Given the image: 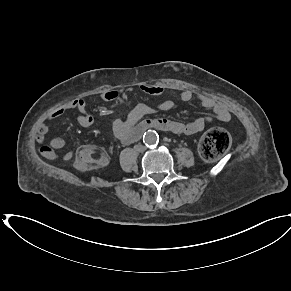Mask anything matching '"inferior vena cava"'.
<instances>
[{
  "mask_svg": "<svg viewBox=\"0 0 291 291\" xmlns=\"http://www.w3.org/2000/svg\"><path fill=\"white\" fill-rule=\"evenodd\" d=\"M138 150L141 151V152H143V151L145 150V147H144V146H140V147L138 148Z\"/></svg>",
  "mask_w": 291,
  "mask_h": 291,
  "instance_id": "obj_1",
  "label": "inferior vena cava"
}]
</instances>
